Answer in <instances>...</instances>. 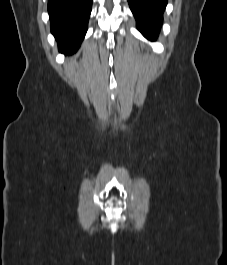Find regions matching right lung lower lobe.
Here are the masks:
<instances>
[{"instance_id": "1", "label": "right lung lower lobe", "mask_w": 227, "mask_h": 265, "mask_svg": "<svg viewBox=\"0 0 227 265\" xmlns=\"http://www.w3.org/2000/svg\"><path fill=\"white\" fill-rule=\"evenodd\" d=\"M93 0H48L51 32L60 52L72 54L79 48L88 26Z\"/></svg>"}]
</instances>
